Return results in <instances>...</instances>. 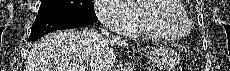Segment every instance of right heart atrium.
Wrapping results in <instances>:
<instances>
[{"mask_svg":"<svg viewBox=\"0 0 230 71\" xmlns=\"http://www.w3.org/2000/svg\"><path fill=\"white\" fill-rule=\"evenodd\" d=\"M95 13L104 26L120 34L135 26V16L125 0H96Z\"/></svg>","mask_w":230,"mask_h":71,"instance_id":"obj_1","label":"right heart atrium"}]
</instances>
